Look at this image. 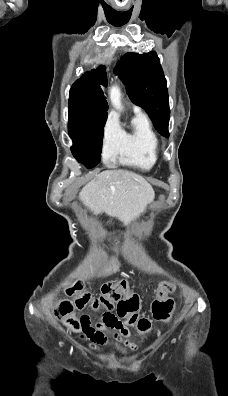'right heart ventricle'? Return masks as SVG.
I'll use <instances>...</instances> for the list:
<instances>
[{
  "instance_id": "obj_1",
  "label": "right heart ventricle",
  "mask_w": 228,
  "mask_h": 396,
  "mask_svg": "<svg viewBox=\"0 0 228 396\" xmlns=\"http://www.w3.org/2000/svg\"><path fill=\"white\" fill-rule=\"evenodd\" d=\"M117 157L121 164L142 170H149L156 164L159 140L145 115L136 113L130 128L121 129Z\"/></svg>"
}]
</instances>
